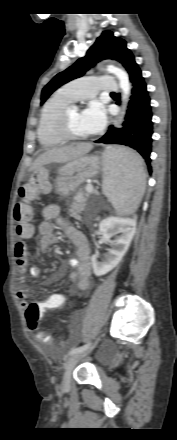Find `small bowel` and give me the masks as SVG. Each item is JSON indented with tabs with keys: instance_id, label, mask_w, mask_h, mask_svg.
<instances>
[{
	"instance_id": "obj_1",
	"label": "small bowel",
	"mask_w": 177,
	"mask_h": 440,
	"mask_svg": "<svg viewBox=\"0 0 177 440\" xmlns=\"http://www.w3.org/2000/svg\"><path fill=\"white\" fill-rule=\"evenodd\" d=\"M60 208L55 204H50L41 210V217L43 221L37 226V233L39 235V248L41 250H46L50 246L58 242V236L54 231V226L50 221H55L56 224L61 227L67 237L71 240L73 245L76 247L77 258L70 259L68 261L69 266L76 268L69 274V280L74 284L79 291H86L91 286V265L89 261L90 248L85 235L71 226L67 221L59 217ZM34 228H31V232L27 237L32 235ZM26 245L24 242H18L15 245V257L18 266V275L20 283H23L26 276L36 275L38 270L36 268H31L27 271V256H26ZM17 298L23 309L28 308V298L30 296V290L26 287H21L17 290ZM47 298H66L67 296L63 293H54L49 295ZM44 343V341H43Z\"/></svg>"
}]
</instances>
